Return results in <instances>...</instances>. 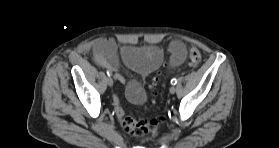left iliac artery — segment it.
<instances>
[{
    "mask_svg": "<svg viewBox=\"0 0 279 148\" xmlns=\"http://www.w3.org/2000/svg\"><path fill=\"white\" fill-rule=\"evenodd\" d=\"M171 84H172V85H176V84H177V79H176V78H173V79L171 80Z\"/></svg>",
    "mask_w": 279,
    "mask_h": 148,
    "instance_id": "obj_1",
    "label": "left iliac artery"
}]
</instances>
